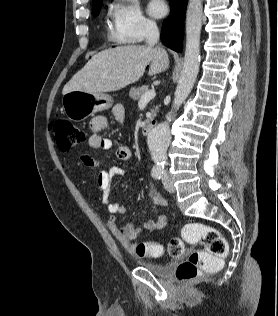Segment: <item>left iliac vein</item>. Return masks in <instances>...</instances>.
<instances>
[{"label":"left iliac vein","instance_id":"4c4485c4","mask_svg":"<svg viewBox=\"0 0 278 316\" xmlns=\"http://www.w3.org/2000/svg\"><path fill=\"white\" fill-rule=\"evenodd\" d=\"M162 182L163 185L165 187V189L169 192V193H173L175 191L173 184L171 183V181L169 180L167 174L163 175L162 178Z\"/></svg>","mask_w":278,"mask_h":316}]
</instances>
